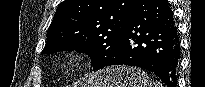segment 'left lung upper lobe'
<instances>
[{
	"mask_svg": "<svg viewBox=\"0 0 205 87\" xmlns=\"http://www.w3.org/2000/svg\"><path fill=\"white\" fill-rule=\"evenodd\" d=\"M137 0H65L57 8L41 54L79 51L93 70L105 66L118 45Z\"/></svg>",
	"mask_w": 205,
	"mask_h": 87,
	"instance_id": "5c2ea615",
	"label": "left lung upper lobe"
}]
</instances>
